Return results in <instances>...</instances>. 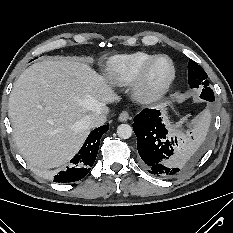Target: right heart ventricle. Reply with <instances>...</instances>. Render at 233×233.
I'll list each match as a JSON object with an SVG mask.
<instances>
[{
    "label": "right heart ventricle",
    "mask_w": 233,
    "mask_h": 233,
    "mask_svg": "<svg viewBox=\"0 0 233 233\" xmlns=\"http://www.w3.org/2000/svg\"><path fill=\"white\" fill-rule=\"evenodd\" d=\"M154 57L155 54L142 51L113 56L107 62L106 76L115 85H129L141 68Z\"/></svg>",
    "instance_id": "obj_1"
}]
</instances>
